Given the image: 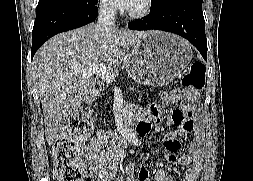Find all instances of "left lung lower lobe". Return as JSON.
I'll use <instances>...</instances> for the list:
<instances>
[{"instance_id": "0a47b994", "label": "left lung lower lobe", "mask_w": 253, "mask_h": 181, "mask_svg": "<svg viewBox=\"0 0 253 181\" xmlns=\"http://www.w3.org/2000/svg\"><path fill=\"white\" fill-rule=\"evenodd\" d=\"M132 30H162L180 35L190 41L207 60V40L202 3L177 1L150 12L143 19L128 24Z\"/></svg>"}]
</instances>
